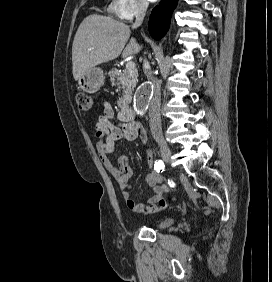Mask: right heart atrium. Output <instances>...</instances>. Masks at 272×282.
Wrapping results in <instances>:
<instances>
[{"instance_id": "obj_1", "label": "right heart atrium", "mask_w": 272, "mask_h": 282, "mask_svg": "<svg viewBox=\"0 0 272 282\" xmlns=\"http://www.w3.org/2000/svg\"><path fill=\"white\" fill-rule=\"evenodd\" d=\"M147 0H112L109 11L119 20L130 22L147 10Z\"/></svg>"}]
</instances>
